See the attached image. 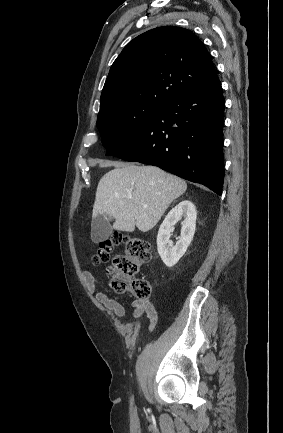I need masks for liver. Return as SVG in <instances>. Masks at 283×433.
I'll use <instances>...</instances> for the list:
<instances>
[{"mask_svg":"<svg viewBox=\"0 0 283 433\" xmlns=\"http://www.w3.org/2000/svg\"><path fill=\"white\" fill-rule=\"evenodd\" d=\"M114 170L100 178L92 217H114L112 229L133 233L135 225L142 233L153 229L172 200L187 188L185 180L164 172L158 166H135L113 162ZM132 196V198H129Z\"/></svg>","mask_w":283,"mask_h":433,"instance_id":"liver-1","label":"liver"}]
</instances>
